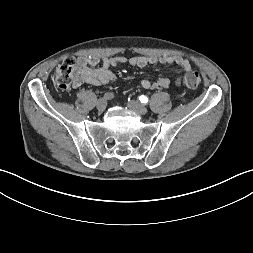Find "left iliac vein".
I'll list each match as a JSON object with an SVG mask.
<instances>
[{
  "instance_id": "obj_1",
  "label": "left iliac vein",
  "mask_w": 253,
  "mask_h": 253,
  "mask_svg": "<svg viewBox=\"0 0 253 253\" xmlns=\"http://www.w3.org/2000/svg\"><path fill=\"white\" fill-rule=\"evenodd\" d=\"M127 105L129 107V109H131L132 111H134L135 113H137L139 115H145L148 112L145 105H143L142 103H140L138 101L131 100L128 102Z\"/></svg>"
}]
</instances>
